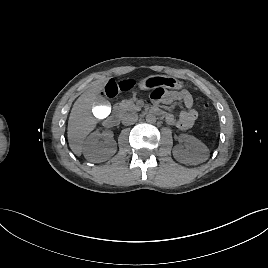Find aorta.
<instances>
[{
  "label": "aorta",
  "mask_w": 268,
  "mask_h": 268,
  "mask_svg": "<svg viewBox=\"0 0 268 268\" xmlns=\"http://www.w3.org/2000/svg\"><path fill=\"white\" fill-rule=\"evenodd\" d=\"M156 116L154 114H148L146 116V122L149 123V124H154L156 122Z\"/></svg>",
  "instance_id": "762f6f07"
}]
</instances>
